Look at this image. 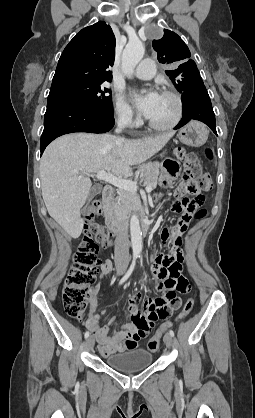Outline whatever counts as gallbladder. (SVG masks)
Returning <instances> with one entry per match:
<instances>
[{"mask_svg": "<svg viewBox=\"0 0 255 418\" xmlns=\"http://www.w3.org/2000/svg\"><path fill=\"white\" fill-rule=\"evenodd\" d=\"M102 191V186L94 185L91 187L89 194L87 196V201L92 200L96 195H98Z\"/></svg>", "mask_w": 255, "mask_h": 418, "instance_id": "obj_1", "label": "gallbladder"}]
</instances>
